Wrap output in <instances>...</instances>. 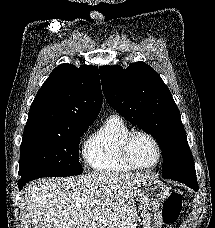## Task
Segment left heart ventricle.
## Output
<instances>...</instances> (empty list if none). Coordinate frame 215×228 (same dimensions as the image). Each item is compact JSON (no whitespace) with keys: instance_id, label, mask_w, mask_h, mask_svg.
<instances>
[{"instance_id":"left-heart-ventricle-1","label":"left heart ventricle","mask_w":215,"mask_h":228,"mask_svg":"<svg viewBox=\"0 0 215 228\" xmlns=\"http://www.w3.org/2000/svg\"><path fill=\"white\" fill-rule=\"evenodd\" d=\"M130 154L133 162L140 167L152 165L157 158V152L152 142L142 136H136L131 144Z\"/></svg>"}]
</instances>
